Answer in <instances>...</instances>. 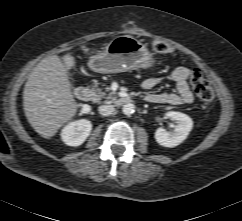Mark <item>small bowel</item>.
<instances>
[{"mask_svg":"<svg viewBox=\"0 0 242 221\" xmlns=\"http://www.w3.org/2000/svg\"><path fill=\"white\" fill-rule=\"evenodd\" d=\"M192 71L185 66H178L172 70L169 79L174 82L176 92H150L158 85L160 79L148 78L143 81L142 87L146 92L144 99L150 103L169 104V105H187L194 100L193 94L189 87V79Z\"/></svg>","mask_w":242,"mask_h":221,"instance_id":"obj_1","label":"small bowel"}]
</instances>
